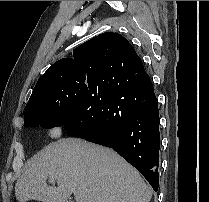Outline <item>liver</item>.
<instances>
[{
  "label": "liver",
  "instance_id": "1",
  "mask_svg": "<svg viewBox=\"0 0 209 202\" xmlns=\"http://www.w3.org/2000/svg\"><path fill=\"white\" fill-rule=\"evenodd\" d=\"M71 194L76 202H149L152 190L113 150L76 138L44 147L15 185L19 202H66Z\"/></svg>",
  "mask_w": 209,
  "mask_h": 202
}]
</instances>
